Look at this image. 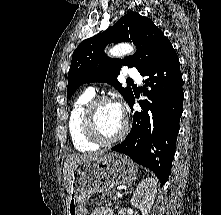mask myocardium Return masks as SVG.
Returning <instances> with one entry per match:
<instances>
[{
  "label": "myocardium",
  "mask_w": 221,
  "mask_h": 215,
  "mask_svg": "<svg viewBox=\"0 0 221 215\" xmlns=\"http://www.w3.org/2000/svg\"><path fill=\"white\" fill-rule=\"evenodd\" d=\"M104 103H111V100L105 96L92 98L84 107L81 116V128L86 138L99 145H109L121 140L128 130V123L123 119L120 131L111 137L102 135L96 125V110L98 106Z\"/></svg>",
  "instance_id": "1"
}]
</instances>
